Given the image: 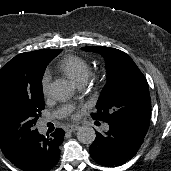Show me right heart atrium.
I'll list each match as a JSON object with an SVG mask.
<instances>
[{
    "label": "right heart atrium",
    "instance_id": "1",
    "mask_svg": "<svg viewBox=\"0 0 171 171\" xmlns=\"http://www.w3.org/2000/svg\"><path fill=\"white\" fill-rule=\"evenodd\" d=\"M50 83H51V75L49 72H45L41 81V87L44 96H48L50 93Z\"/></svg>",
    "mask_w": 171,
    "mask_h": 171
}]
</instances>
